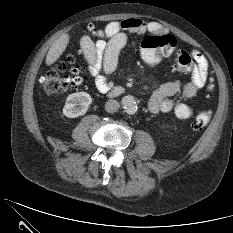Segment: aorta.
<instances>
[{"label": "aorta", "mask_w": 233, "mask_h": 233, "mask_svg": "<svg viewBox=\"0 0 233 233\" xmlns=\"http://www.w3.org/2000/svg\"><path fill=\"white\" fill-rule=\"evenodd\" d=\"M122 107L128 114H134L137 111L136 100L131 95H126L121 100Z\"/></svg>", "instance_id": "762f6f07"}]
</instances>
